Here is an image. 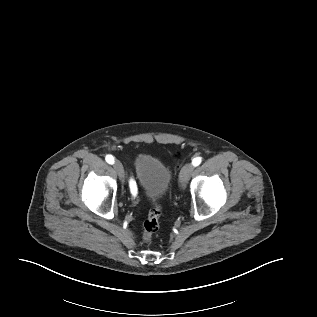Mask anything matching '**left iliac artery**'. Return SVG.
Segmentation results:
<instances>
[{
	"mask_svg": "<svg viewBox=\"0 0 317 317\" xmlns=\"http://www.w3.org/2000/svg\"><path fill=\"white\" fill-rule=\"evenodd\" d=\"M201 157H196V158H194L193 160H192V164L194 165V166H198L200 163H201Z\"/></svg>",
	"mask_w": 317,
	"mask_h": 317,
	"instance_id": "obj_1",
	"label": "left iliac artery"
}]
</instances>
